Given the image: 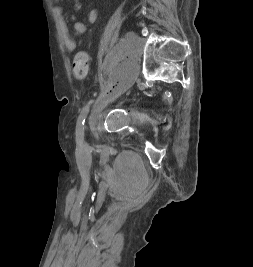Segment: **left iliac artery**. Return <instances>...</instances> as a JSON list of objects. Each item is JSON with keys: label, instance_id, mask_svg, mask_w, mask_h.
Returning a JSON list of instances; mask_svg holds the SVG:
<instances>
[{"label": "left iliac artery", "instance_id": "1", "mask_svg": "<svg viewBox=\"0 0 253 267\" xmlns=\"http://www.w3.org/2000/svg\"><path fill=\"white\" fill-rule=\"evenodd\" d=\"M89 109H90V104H87L85 107L82 108L80 115L78 117L76 125V135L79 139H81L84 134V125Z\"/></svg>", "mask_w": 253, "mask_h": 267}]
</instances>
